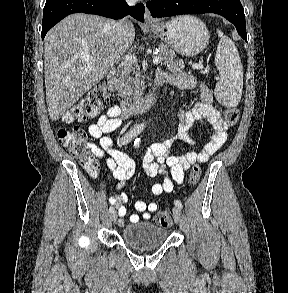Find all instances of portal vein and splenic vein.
<instances>
[{
  "label": "portal vein and splenic vein",
  "instance_id": "obj_1",
  "mask_svg": "<svg viewBox=\"0 0 288 293\" xmlns=\"http://www.w3.org/2000/svg\"><path fill=\"white\" fill-rule=\"evenodd\" d=\"M81 58L84 59V60H86V61H91V60L94 59V57H93L92 55H87V54L82 55ZM124 60H125V61H130V62H132V61H135V60H136V57H135V55H126V56L124 57ZM161 61H162V57L159 56V55H156V56L153 58V63H154L155 65H158L159 63H161ZM192 68H193V69H203V65H197V64H196V65H193Z\"/></svg>",
  "mask_w": 288,
  "mask_h": 293
}]
</instances>
